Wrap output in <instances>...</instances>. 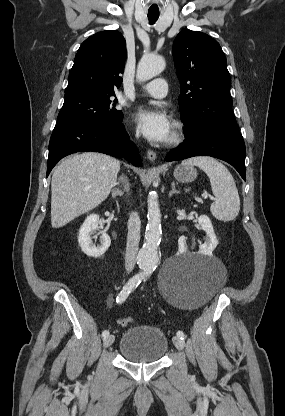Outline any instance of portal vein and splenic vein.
Masks as SVG:
<instances>
[{"instance_id":"obj_1","label":"portal vein and splenic vein","mask_w":285,"mask_h":416,"mask_svg":"<svg viewBox=\"0 0 285 416\" xmlns=\"http://www.w3.org/2000/svg\"><path fill=\"white\" fill-rule=\"evenodd\" d=\"M208 194H202V198H207ZM210 200H216L213 196H210Z\"/></svg>"}]
</instances>
